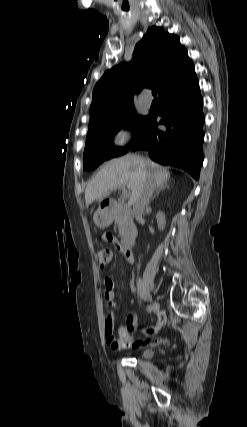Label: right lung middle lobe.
<instances>
[{
	"instance_id": "dd1d6c3e",
	"label": "right lung middle lobe",
	"mask_w": 247,
	"mask_h": 427,
	"mask_svg": "<svg viewBox=\"0 0 247 427\" xmlns=\"http://www.w3.org/2000/svg\"><path fill=\"white\" fill-rule=\"evenodd\" d=\"M136 115L134 106H132L123 110L115 119L88 130L83 154L84 170H93L102 162L124 154L144 137L149 115L146 117H136ZM126 126H131L137 131V137L127 148L116 147L112 137Z\"/></svg>"
}]
</instances>
